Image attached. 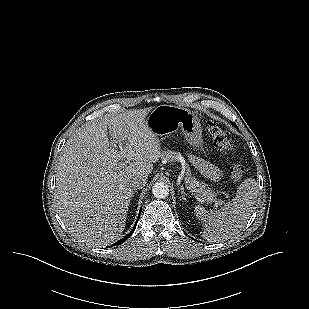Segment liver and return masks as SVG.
I'll return each instance as SVG.
<instances>
[{
  "label": "liver",
  "mask_w": 309,
  "mask_h": 309,
  "mask_svg": "<svg viewBox=\"0 0 309 309\" xmlns=\"http://www.w3.org/2000/svg\"><path fill=\"white\" fill-rule=\"evenodd\" d=\"M148 111L89 123L63 147L56 167L55 206L78 241L105 247L120 238L134 194L129 181L148 177L162 156L158 138L145 124ZM124 161L128 164L122 165Z\"/></svg>",
  "instance_id": "liver-1"
}]
</instances>
